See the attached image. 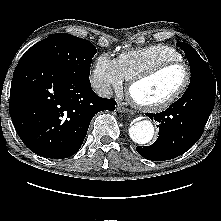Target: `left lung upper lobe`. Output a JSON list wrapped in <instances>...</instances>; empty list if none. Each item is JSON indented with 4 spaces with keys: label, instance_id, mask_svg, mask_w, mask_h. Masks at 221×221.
<instances>
[{
    "label": "left lung upper lobe",
    "instance_id": "5c2ea615",
    "mask_svg": "<svg viewBox=\"0 0 221 221\" xmlns=\"http://www.w3.org/2000/svg\"><path fill=\"white\" fill-rule=\"evenodd\" d=\"M177 45L185 52L191 69L189 87L198 85L209 79H214L213 74L206 62L199 56L196 50L187 43L177 42Z\"/></svg>",
    "mask_w": 221,
    "mask_h": 221
}]
</instances>
